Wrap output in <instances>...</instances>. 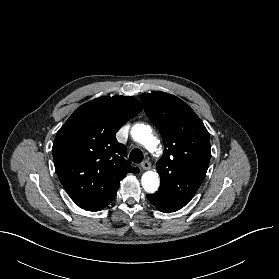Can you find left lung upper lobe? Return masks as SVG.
<instances>
[{
  "label": "left lung upper lobe",
  "instance_id": "obj_1",
  "mask_svg": "<svg viewBox=\"0 0 279 279\" xmlns=\"http://www.w3.org/2000/svg\"><path fill=\"white\" fill-rule=\"evenodd\" d=\"M141 101L164 141V153L156 167L161 179L158 193L191 200L205 178L211 157L207 129L174 95L144 93Z\"/></svg>",
  "mask_w": 279,
  "mask_h": 279
}]
</instances>
